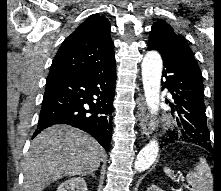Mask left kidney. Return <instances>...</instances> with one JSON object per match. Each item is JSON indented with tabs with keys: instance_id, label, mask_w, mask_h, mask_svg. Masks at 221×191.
Wrapping results in <instances>:
<instances>
[{
	"instance_id": "obj_1",
	"label": "left kidney",
	"mask_w": 221,
	"mask_h": 191,
	"mask_svg": "<svg viewBox=\"0 0 221 191\" xmlns=\"http://www.w3.org/2000/svg\"><path fill=\"white\" fill-rule=\"evenodd\" d=\"M147 191H163L161 188H159L158 186L156 185H151Z\"/></svg>"
}]
</instances>
